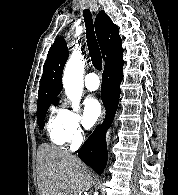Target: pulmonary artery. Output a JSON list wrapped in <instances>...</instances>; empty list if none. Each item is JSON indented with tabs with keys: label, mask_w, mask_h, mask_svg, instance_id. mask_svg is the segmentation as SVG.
<instances>
[{
	"label": "pulmonary artery",
	"mask_w": 178,
	"mask_h": 195,
	"mask_svg": "<svg viewBox=\"0 0 178 195\" xmlns=\"http://www.w3.org/2000/svg\"><path fill=\"white\" fill-rule=\"evenodd\" d=\"M85 87L90 91H95L100 87V80L96 73H89L86 75Z\"/></svg>",
	"instance_id": "obj_1"
}]
</instances>
